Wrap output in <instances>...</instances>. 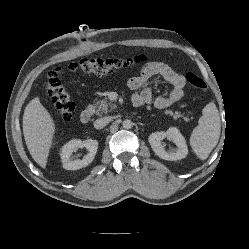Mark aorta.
<instances>
[{
  "instance_id": "1",
  "label": "aorta",
  "mask_w": 249,
  "mask_h": 249,
  "mask_svg": "<svg viewBox=\"0 0 249 249\" xmlns=\"http://www.w3.org/2000/svg\"><path fill=\"white\" fill-rule=\"evenodd\" d=\"M122 126L125 129H130L133 127V122L131 120L126 119L122 122Z\"/></svg>"
}]
</instances>
